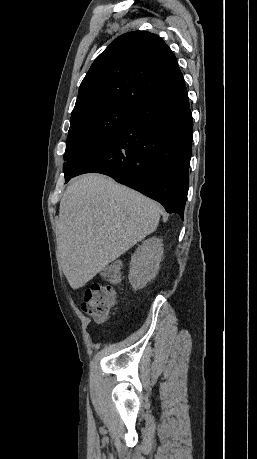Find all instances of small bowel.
<instances>
[{"mask_svg": "<svg viewBox=\"0 0 257 459\" xmlns=\"http://www.w3.org/2000/svg\"><path fill=\"white\" fill-rule=\"evenodd\" d=\"M95 323H100L99 321H95Z\"/></svg>", "mask_w": 257, "mask_h": 459, "instance_id": "small-bowel-1", "label": "small bowel"}]
</instances>
